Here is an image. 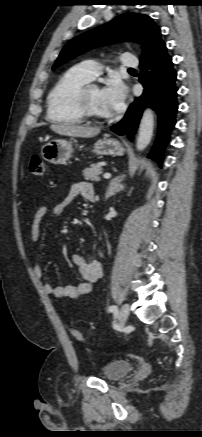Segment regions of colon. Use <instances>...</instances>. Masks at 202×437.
Here are the masks:
<instances>
[{
	"label": "colon",
	"mask_w": 202,
	"mask_h": 437,
	"mask_svg": "<svg viewBox=\"0 0 202 437\" xmlns=\"http://www.w3.org/2000/svg\"><path fill=\"white\" fill-rule=\"evenodd\" d=\"M29 170L30 173L34 176H42L44 174V162L39 155L34 154L31 156L29 162ZM70 332L77 341L84 340L83 334L77 328H71Z\"/></svg>",
	"instance_id": "colon-1"
}]
</instances>
